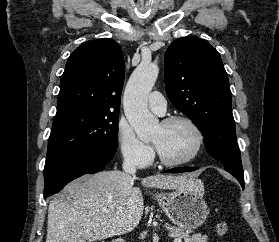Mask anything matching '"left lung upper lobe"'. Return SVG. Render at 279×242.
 Masks as SVG:
<instances>
[{
  "label": "left lung upper lobe",
  "mask_w": 279,
  "mask_h": 242,
  "mask_svg": "<svg viewBox=\"0 0 279 242\" xmlns=\"http://www.w3.org/2000/svg\"><path fill=\"white\" fill-rule=\"evenodd\" d=\"M165 88L172 104L202 132L208 153L244 177L232 114V93L219 52L206 40L181 37L168 47Z\"/></svg>",
  "instance_id": "1"
}]
</instances>
